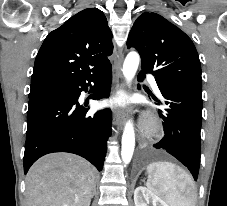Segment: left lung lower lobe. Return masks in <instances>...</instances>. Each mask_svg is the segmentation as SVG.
Listing matches in <instances>:
<instances>
[{"label":"left lung lower lobe","instance_id":"left-lung-lower-lobe-1","mask_svg":"<svg viewBox=\"0 0 227 206\" xmlns=\"http://www.w3.org/2000/svg\"><path fill=\"white\" fill-rule=\"evenodd\" d=\"M145 73H139V81L145 78ZM156 82L167 107L159 112L165 136L153 147L173 155L197 180L201 155L202 90L177 83ZM156 104L161 103L157 101Z\"/></svg>","mask_w":227,"mask_h":206}]
</instances>
